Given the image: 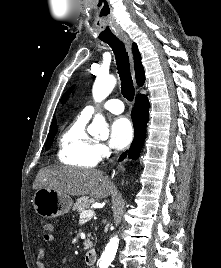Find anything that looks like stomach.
I'll return each instance as SVG.
<instances>
[{"label":"stomach","instance_id":"stomach-1","mask_svg":"<svg viewBox=\"0 0 221 268\" xmlns=\"http://www.w3.org/2000/svg\"><path fill=\"white\" fill-rule=\"evenodd\" d=\"M72 204V198L68 194L53 189H37L33 196L36 213L48 219L68 213Z\"/></svg>","mask_w":221,"mask_h":268}]
</instances>
